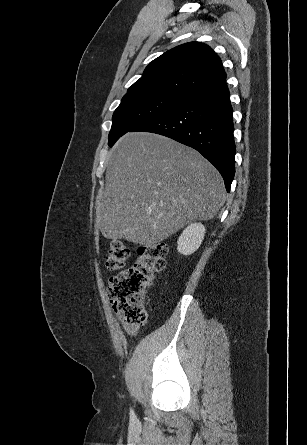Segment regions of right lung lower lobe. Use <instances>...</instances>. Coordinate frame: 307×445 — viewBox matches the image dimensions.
Returning a JSON list of instances; mask_svg holds the SVG:
<instances>
[{"label":"right lung lower lobe","instance_id":"right-lung-lower-lobe-1","mask_svg":"<svg viewBox=\"0 0 307 445\" xmlns=\"http://www.w3.org/2000/svg\"><path fill=\"white\" fill-rule=\"evenodd\" d=\"M232 113L224 80L129 132L157 133L196 149L218 169L229 192L235 174Z\"/></svg>","mask_w":307,"mask_h":445}]
</instances>
